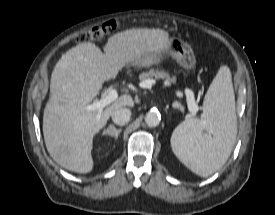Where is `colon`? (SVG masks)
<instances>
[{"mask_svg": "<svg viewBox=\"0 0 275 215\" xmlns=\"http://www.w3.org/2000/svg\"><path fill=\"white\" fill-rule=\"evenodd\" d=\"M119 26L120 22L116 19H112L79 34L76 40L79 42L100 41L104 37L113 34Z\"/></svg>", "mask_w": 275, "mask_h": 215, "instance_id": "5ec220e1", "label": "colon"}]
</instances>
